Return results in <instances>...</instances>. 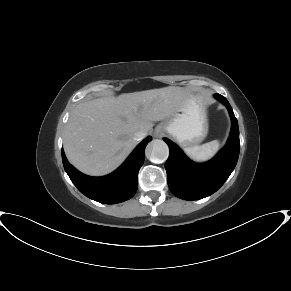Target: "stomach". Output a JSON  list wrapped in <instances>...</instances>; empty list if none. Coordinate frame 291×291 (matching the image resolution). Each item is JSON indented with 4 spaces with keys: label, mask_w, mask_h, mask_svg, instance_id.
<instances>
[{
    "label": "stomach",
    "mask_w": 291,
    "mask_h": 291,
    "mask_svg": "<svg viewBox=\"0 0 291 291\" xmlns=\"http://www.w3.org/2000/svg\"><path fill=\"white\" fill-rule=\"evenodd\" d=\"M159 126L184 147L202 142L208 133V120L202 97L193 94L183 95L174 114Z\"/></svg>",
    "instance_id": "obj_1"
}]
</instances>
